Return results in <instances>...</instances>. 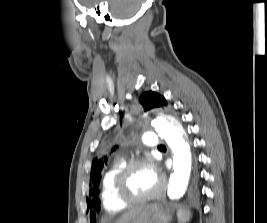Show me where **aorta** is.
I'll list each match as a JSON object with an SVG mask.
<instances>
[{
    "mask_svg": "<svg viewBox=\"0 0 267 223\" xmlns=\"http://www.w3.org/2000/svg\"><path fill=\"white\" fill-rule=\"evenodd\" d=\"M151 124L172 150L173 172L167 186V197L170 200H177L185 194L192 166V156L185 131L181 123L170 115H158Z\"/></svg>",
    "mask_w": 267,
    "mask_h": 223,
    "instance_id": "aorta-1",
    "label": "aorta"
}]
</instances>
